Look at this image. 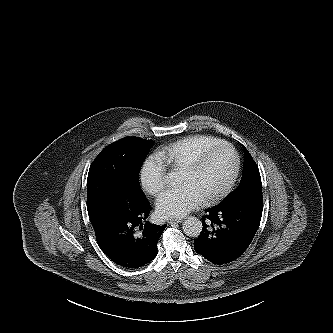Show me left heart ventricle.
I'll use <instances>...</instances> for the list:
<instances>
[{"label":"left heart ventricle","mask_w":333,"mask_h":333,"mask_svg":"<svg viewBox=\"0 0 333 333\" xmlns=\"http://www.w3.org/2000/svg\"><path fill=\"white\" fill-rule=\"evenodd\" d=\"M235 167V156L231 149L223 147L212 153L204 165L195 173H180L179 184L191 185L206 198L228 182Z\"/></svg>","instance_id":"obj_1"}]
</instances>
